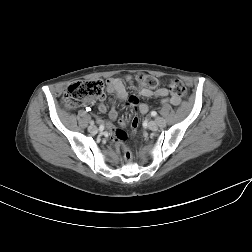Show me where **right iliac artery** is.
Wrapping results in <instances>:
<instances>
[{
    "label": "right iliac artery",
    "mask_w": 252,
    "mask_h": 252,
    "mask_svg": "<svg viewBox=\"0 0 252 252\" xmlns=\"http://www.w3.org/2000/svg\"><path fill=\"white\" fill-rule=\"evenodd\" d=\"M103 130H104V126H103V125H100V126H99V133H102Z\"/></svg>",
    "instance_id": "1"
}]
</instances>
